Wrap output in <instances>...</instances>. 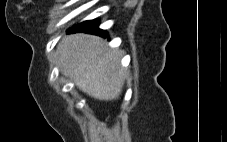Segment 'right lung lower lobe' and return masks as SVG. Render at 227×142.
I'll return each instance as SVG.
<instances>
[{
    "instance_id": "obj_1",
    "label": "right lung lower lobe",
    "mask_w": 227,
    "mask_h": 142,
    "mask_svg": "<svg viewBox=\"0 0 227 142\" xmlns=\"http://www.w3.org/2000/svg\"><path fill=\"white\" fill-rule=\"evenodd\" d=\"M98 26H99V22L97 20H89L72 27L69 32H73V33L85 32V33H91V34L107 37L108 36L107 32L104 30H100Z\"/></svg>"
}]
</instances>
